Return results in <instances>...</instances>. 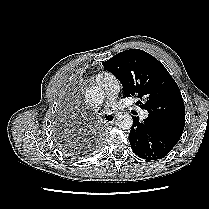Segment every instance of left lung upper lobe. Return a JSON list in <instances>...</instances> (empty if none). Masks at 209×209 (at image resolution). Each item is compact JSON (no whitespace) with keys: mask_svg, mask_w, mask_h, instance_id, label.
I'll use <instances>...</instances> for the list:
<instances>
[{"mask_svg":"<svg viewBox=\"0 0 209 209\" xmlns=\"http://www.w3.org/2000/svg\"><path fill=\"white\" fill-rule=\"evenodd\" d=\"M121 82L126 97L146 100L140 107L149 115L169 116L185 121V106L178 85L167 69L152 55L130 49L102 63Z\"/></svg>","mask_w":209,"mask_h":209,"instance_id":"obj_1","label":"left lung upper lobe"}]
</instances>
